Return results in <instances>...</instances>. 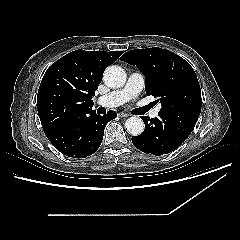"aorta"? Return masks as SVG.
<instances>
[{
    "label": "aorta",
    "mask_w": 240,
    "mask_h": 240,
    "mask_svg": "<svg viewBox=\"0 0 240 240\" xmlns=\"http://www.w3.org/2000/svg\"><path fill=\"white\" fill-rule=\"evenodd\" d=\"M105 84L110 88H119L126 82V73L120 66H109L103 76ZM144 122L141 118L132 116L125 122L127 132L133 136H138L144 131Z\"/></svg>",
    "instance_id": "762f6f07"
}]
</instances>
